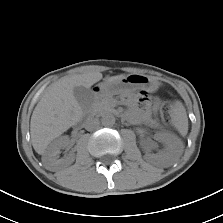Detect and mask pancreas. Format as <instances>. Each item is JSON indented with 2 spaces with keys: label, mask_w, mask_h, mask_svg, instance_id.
Listing matches in <instances>:
<instances>
[{
  "label": "pancreas",
  "mask_w": 223,
  "mask_h": 223,
  "mask_svg": "<svg viewBox=\"0 0 223 223\" xmlns=\"http://www.w3.org/2000/svg\"><path fill=\"white\" fill-rule=\"evenodd\" d=\"M112 98L104 97L101 100H95L91 105V112L93 114H102L112 110Z\"/></svg>",
  "instance_id": "obj_1"
}]
</instances>
